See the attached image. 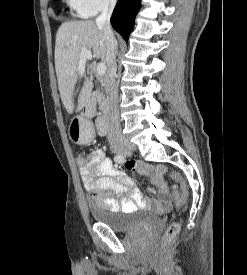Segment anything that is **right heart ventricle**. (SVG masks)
Returning <instances> with one entry per match:
<instances>
[{
	"label": "right heart ventricle",
	"mask_w": 247,
	"mask_h": 275,
	"mask_svg": "<svg viewBox=\"0 0 247 275\" xmlns=\"http://www.w3.org/2000/svg\"><path fill=\"white\" fill-rule=\"evenodd\" d=\"M65 1H66L67 5H68L70 8L76 10V1H75V0H65Z\"/></svg>",
	"instance_id": "right-heart-ventricle-1"
}]
</instances>
